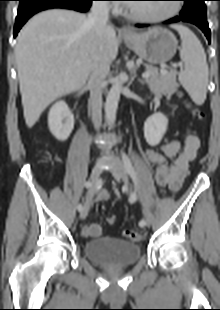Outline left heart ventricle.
Masks as SVG:
<instances>
[{
	"label": "left heart ventricle",
	"mask_w": 220,
	"mask_h": 310,
	"mask_svg": "<svg viewBox=\"0 0 220 310\" xmlns=\"http://www.w3.org/2000/svg\"><path fill=\"white\" fill-rule=\"evenodd\" d=\"M167 4H154V5H144V4H133L130 6V10L150 17H157L166 14L170 10Z\"/></svg>",
	"instance_id": "obj_1"
}]
</instances>
